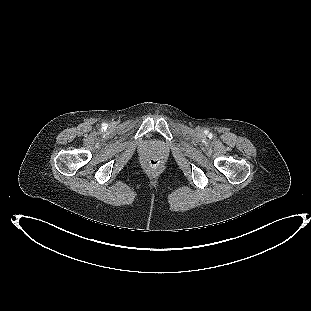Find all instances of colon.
I'll return each instance as SVG.
<instances>
[{
    "mask_svg": "<svg viewBox=\"0 0 311 311\" xmlns=\"http://www.w3.org/2000/svg\"><path fill=\"white\" fill-rule=\"evenodd\" d=\"M162 165V161L157 158H152L149 160V168L152 170L158 169Z\"/></svg>",
    "mask_w": 311,
    "mask_h": 311,
    "instance_id": "5ec220e1",
    "label": "colon"
}]
</instances>
